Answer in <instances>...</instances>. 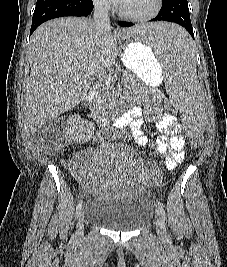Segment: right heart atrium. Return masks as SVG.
<instances>
[{"label": "right heart atrium", "mask_w": 227, "mask_h": 267, "mask_svg": "<svg viewBox=\"0 0 227 267\" xmlns=\"http://www.w3.org/2000/svg\"><path fill=\"white\" fill-rule=\"evenodd\" d=\"M93 5L102 10V11H110L112 9L113 0H91Z\"/></svg>", "instance_id": "1"}]
</instances>
